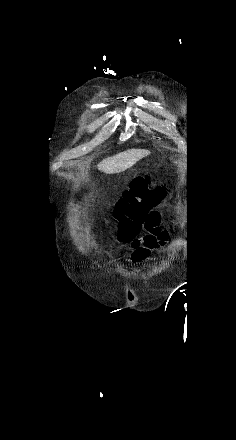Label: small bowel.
I'll return each instance as SVG.
<instances>
[{
	"mask_svg": "<svg viewBox=\"0 0 236 440\" xmlns=\"http://www.w3.org/2000/svg\"><path fill=\"white\" fill-rule=\"evenodd\" d=\"M146 234L139 238H131L129 240L130 256L133 261L140 262L149 257L150 254L163 247L171 233L174 230L168 231L162 227V217L159 211H151L143 222Z\"/></svg>",
	"mask_w": 236,
	"mask_h": 440,
	"instance_id": "obj_1",
	"label": "small bowel"
}]
</instances>
